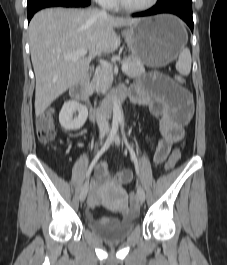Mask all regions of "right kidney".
Instances as JSON below:
<instances>
[{"instance_id": "ca27d5eb", "label": "right kidney", "mask_w": 227, "mask_h": 265, "mask_svg": "<svg viewBox=\"0 0 227 265\" xmlns=\"http://www.w3.org/2000/svg\"><path fill=\"white\" fill-rule=\"evenodd\" d=\"M78 112V116L73 118V113ZM88 117V109L75 101L66 102L59 114V122L61 126L68 131L80 129L86 122Z\"/></svg>"}]
</instances>
